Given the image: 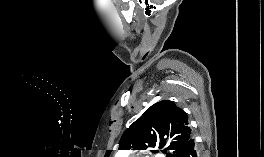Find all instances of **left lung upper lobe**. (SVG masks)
Masks as SVG:
<instances>
[{
    "instance_id": "1",
    "label": "left lung upper lobe",
    "mask_w": 264,
    "mask_h": 157,
    "mask_svg": "<svg viewBox=\"0 0 264 157\" xmlns=\"http://www.w3.org/2000/svg\"><path fill=\"white\" fill-rule=\"evenodd\" d=\"M191 138L187 114L174 102L162 100L149 107L124 132L119 149L145 150L158 147L166 157H180L182 148ZM110 152L107 150L104 157H109Z\"/></svg>"
}]
</instances>
